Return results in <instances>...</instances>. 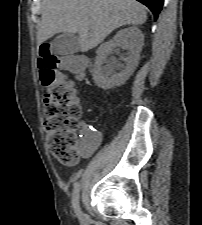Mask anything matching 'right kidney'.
Wrapping results in <instances>:
<instances>
[{"mask_svg": "<svg viewBox=\"0 0 202 225\" xmlns=\"http://www.w3.org/2000/svg\"><path fill=\"white\" fill-rule=\"evenodd\" d=\"M143 44L144 35L135 26L121 29L110 41L103 43L97 50L93 68L95 84L107 90L120 86L127 81L138 65ZM116 47L127 50V53L121 56L125 65L119 63L115 57H111L107 61V56ZM104 63L108 64L104 66ZM115 69L119 70V73H116Z\"/></svg>", "mask_w": 202, "mask_h": 225, "instance_id": "1", "label": "right kidney"}]
</instances>
